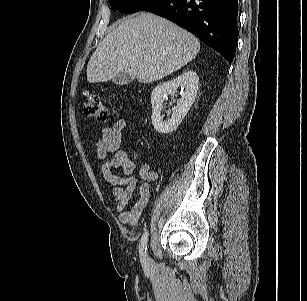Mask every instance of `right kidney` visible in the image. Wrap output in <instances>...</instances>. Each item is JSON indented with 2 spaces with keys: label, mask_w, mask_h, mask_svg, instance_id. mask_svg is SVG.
I'll list each match as a JSON object with an SVG mask.
<instances>
[{
  "label": "right kidney",
  "mask_w": 307,
  "mask_h": 301,
  "mask_svg": "<svg viewBox=\"0 0 307 301\" xmlns=\"http://www.w3.org/2000/svg\"><path fill=\"white\" fill-rule=\"evenodd\" d=\"M199 77L196 72L186 70L175 79L157 85L151 94L152 124L161 134L173 132L188 113L193 104L198 90ZM185 88L182 98L176 101L171 117L163 122L160 114L163 102L168 95L174 96L178 87Z\"/></svg>",
  "instance_id": "ca27d5eb"
}]
</instances>
